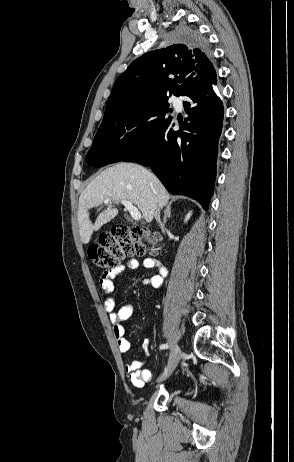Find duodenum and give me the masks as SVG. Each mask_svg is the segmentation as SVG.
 Segmentation results:
<instances>
[{"label": "duodenum", "mask_w": 294, "mask_h": 462, "mask_svg": "<svg viewBox=\"0 0 294 462\" xmlns=\"http://www.w3.org/2000/svg\"><path fill=\"white\" fill-rule=\"evenodd\" d=\"M148 241H150V242H151L152 240H151L150 238H148Z\"/></svg>", "instance_id": "1"}]
</instances>
